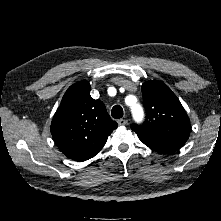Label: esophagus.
<instances>
[{
  "instance_id": "34e87169",
  "label": "esophagus",
  "mask_w": 221,
  "mask_h": 221,
  "mask_svg": "<svg viewBox=\"0 0 221 221\" xmlns=\"http://www.w3.org/2000/svg\"><path fill=\"white\" fill-rule=\"evenodd\" d=\"M117 122L119 125H126L127 124V120L123 119V118L119 119Z\"/></svg>"
}]
</instances>
